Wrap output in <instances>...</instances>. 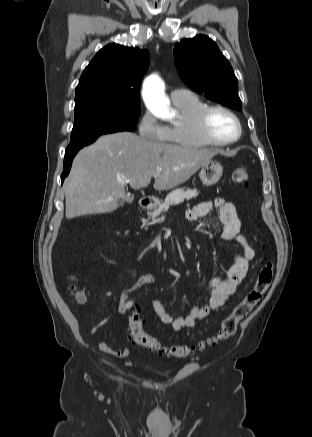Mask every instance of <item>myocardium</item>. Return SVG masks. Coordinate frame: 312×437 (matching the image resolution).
<instances>
[{
    "label": "myocardium",
    "mask_w": 312,
    "mask_h": 437,
    "mask_svg": "<svg viewBox=\"0 0 312 437\" xmlns=\"http://www.w3.org/2000/svg\"><path fill=\"white\" fill-rule=\"evenodd\" d=\"M214 111H223L231 116L237 125V133L234 137L227 140H219L214 138L207 127V121L210 114ZM194 128L197 135L207 144L215 146H226L238 141L242 135V124L239 117L228 107L220 104L207 105L200 109L194 117Z\"/></svg>",
    "instance_id": "obj_1"
}]
</instances>
